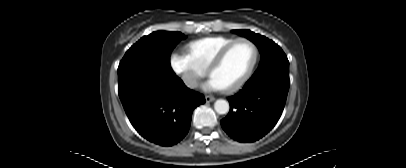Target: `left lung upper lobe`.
I'll return each mask as SVG.
<instances>
[{"label": "left lung upper lobe", "instance_id": "left-lung-upper-lobe-1", "mask_svg": "<svg viewBox=\"0 0 406 168\" xmlns=\"http://www.w3.org/2000/svg\"><path fill=\"white\" fill-rule=\"evenodd\" d=\"M234 32L254 42L261 53L259 67L251 78L262 75H277L289 78V61L283 50L275 42L250 30H237Z\"/></svg>", "mask_w": 406, "mask_h": 168}]
</instances>
